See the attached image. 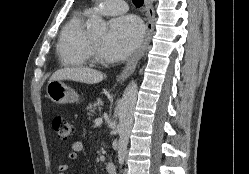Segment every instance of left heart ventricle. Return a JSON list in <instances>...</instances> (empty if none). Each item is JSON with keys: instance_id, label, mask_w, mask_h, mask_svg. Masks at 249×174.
<instances>
[{"instance_id": "obj_1", "label": "left heart ventricle", "mask_w": 249, "mask_h": 174, "mask_svg": "<svg viewBox=\"0 0 249 174\" xmlns=\"http://www.w3.org/2000/svg\"><path fill=\"white\" fill-rule=\"evenodd\" d=\"M106 39V35L92 37L94 44L96 45L97 51L101 58L106 59L103 52V44Z\"/></svg>"}]
</instances>
